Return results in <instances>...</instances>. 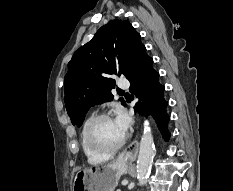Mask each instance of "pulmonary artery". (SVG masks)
<instances>
[{"mask_svg":"<svg viewBox=\"0 0 233 191\" xmlns=\"http://www.w3.org/2000/svg\"><path fill=\"white\" fill-rule=\"evenodd\" d=\"M118 86L120 88H128L129 87V82L125 78H120L119 81H118Z\"/></svg>","mask_w":233,"mask_h":191,"instance_id":"e3ab8cb5","label":"pulmonary artery"}]
</instances>
